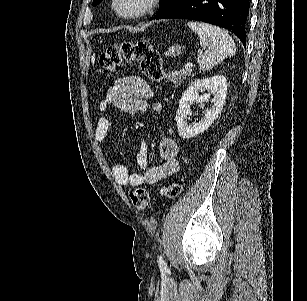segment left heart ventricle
Returning <instances> with one entry per match:
<instances>
[{"label":"left heart ventricle","instance_id":"1","mask_svg":"<svg viewBox=\"0 0 307 301\" xmlns=\"http://www.w3.org/2000/svg\"><path fill=\"white\" fill-rule=\"evenodd\" d=\"M129 2H133V4L136 5L139 2V0H129Z\"/></svg>","mask_w":307,"mask_h":301}]
</instances>
